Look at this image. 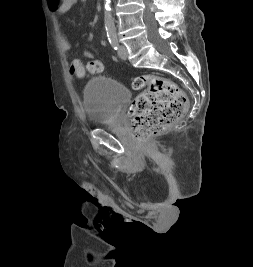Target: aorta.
Wrapping results in <instances>:
<instances>
[{
	"label": "aorta",
	"mask_w": 253,
	"mask_h": 267,
	"mask_svg": "<svg viewBox=\"0 0 253 267\" xmlns=\"http://www.w3.org/2000/svg\"><path fill=\"white\" fill-rule=\"evenodd\" d=\"M104 22L106 28H114V20L111 14L110 0H104Z\"/></svg>",
	"instance_id": "762f6f07"
}]
</instances>
